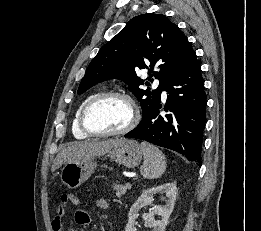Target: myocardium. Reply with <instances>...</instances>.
<instances>
[{
  "label": "myocardium",
  "instance_id": "obj_1",
  "mask_svg": "<svg viewBox=\"0 0 261 231\" xmlns=\"http://www.w3.org/2000/svg\"><path fill=\"white\" fill-rule=\"evenodd\" d=\"M113 97L122 98L129 103L132 111V117L129 124L125 128L118 131H111V132L94 131L87 123V114L89 110L92 107H94L96 104L100 103L101 101ZM139 119H140V111L132 96L121 91H108V92L99 93L83 106L79 116V124L81 130L89 136L112 137V136H123L128 134L137 126V124L139 123Z\"/></svg>",
  "mask_w": 261,
  "mask_h": 231
}]
</instances>
